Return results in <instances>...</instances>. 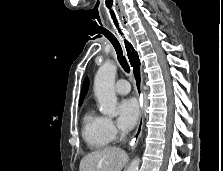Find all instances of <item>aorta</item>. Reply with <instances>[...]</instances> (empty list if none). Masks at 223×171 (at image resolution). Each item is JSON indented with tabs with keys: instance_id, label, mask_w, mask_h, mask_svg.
<instances>
[{
	"instance_id": "1",
	"label": "aorta",
	"mask_w": 223,
	"mask_h": 171,
	"mask_svg": "<svg viewBox=\"0 0 223 171\" xmlns=\"http://www.w3.org/2000/svg\"><path fill=\"white\" fill-rule=\"evenodd\" d=\"M117 67L112 62H105L97 71L94 79V93L102 114L114 117L117 115V97L114 91ZM140 159L130 163L128 171H139Z\"/></svg>"
}]
</instances>
